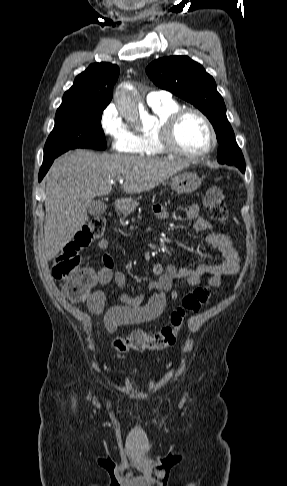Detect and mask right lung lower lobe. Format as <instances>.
<instances>
[{"instance_id": "right-lung-lower-lobe-1", "label": "right lung lower lobe", "mask_w": 287, "mask_h": 486, "mask_svg": "<svg viewBox=\"0 0 287 486\" xmlns=\"http://www.w3.org/2000/svg\"><path fill=\"white\" fill-rule=\"evenodd\" d=\"M54 159L43 161V164H42V166L40 168V172H39V181H41L43 179V177L47 173L48 169L50 168L51 164L53 163Z\"/></svg>"}]
</instances>
